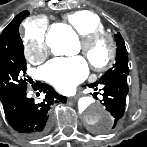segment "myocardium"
Segmentation results:
<instances>
[{
	"label": "myocardium",
	"mask_w": 147,
	"mask_h": 147,
	"mask_svg": "<svg viewBox=\"0 0 147 147\" xmlns=\"http://www.w3.org/2000/svg\"><path fill=\"white\" fill-rule=\"evenodd\" d=\"M100 43H104L106 52L105 56L98 60L94 57V51ZM81 49L92 67L96 70L106 69L113 62L116 55V44L112 36L104 30L82 37Z\"/></svg>",
	"instance_id": "f54148a6"
}]
</instances>
